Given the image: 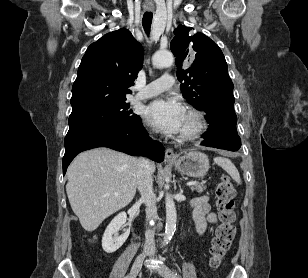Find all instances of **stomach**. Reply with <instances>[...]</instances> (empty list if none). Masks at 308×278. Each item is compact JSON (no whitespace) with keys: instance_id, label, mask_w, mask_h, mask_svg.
I'll use <instances>...</instances> for the list:
<instances>
[{"instance_id":"0dacf381","label":"stomach","mask_w":308,"mask_h":278,"mask_svg":"<svg viewBox=\"0 0 308 278\" xmlns=\"http://www.w3.org/2000/svg\"><path fill=\"white\" fill-rule=\"evenodd\" d=\"M171 164L182 174L190 177H202L209 170L207 155L199 151H190L172 161Z\"/></svg>"}]
</instances>
